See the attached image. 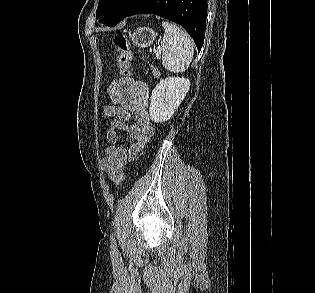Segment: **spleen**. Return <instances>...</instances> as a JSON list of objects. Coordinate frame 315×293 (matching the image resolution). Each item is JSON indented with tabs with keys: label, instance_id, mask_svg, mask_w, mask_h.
Listing matches in <instances>:
<instances>
[{
	"label": "spleen",
	"instance_id": "obj_1",
	"mask_svg": "<svg viewBox=\"0 0 315 293\" xmlns=\"http://www.w3.org/2000/svg\"><path fill=\"white\" fill-rule=\"evenodd\" d=\"M162 26L164 28V37L161 41L162 64L168 71L174 73L184 72L193 59V41L173 23L163 21Z\"/></svg>",
	"mask_w": 315,
	"mask_h": 293
}]
</instances>
